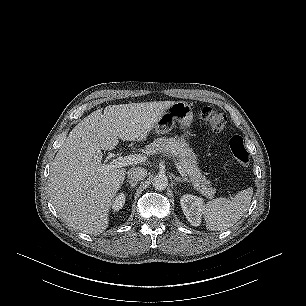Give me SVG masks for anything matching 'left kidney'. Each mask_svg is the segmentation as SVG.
Here are the masks:
<instances>
[{"label": "left kidney", "instance_id": "1", "mask_svg": "<svg viewBox=\"0 0 306 306\" xmlns=\"http://www.w3.org/2000/svg\"><path fill=\"white\" fill-rule=\"evenodd\" d=\"M180 204L188 222L192 226H199L201 223L203 199L191 194H186L181 197Z\"/></svg>", "mask_w": 306, "mask_h": 306}]
</instances>
